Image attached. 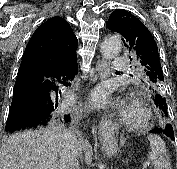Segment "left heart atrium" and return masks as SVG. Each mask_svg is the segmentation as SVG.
Here are the masks:
<instances>
[{
  "instance_id": "1",
  "label": "left heart atrium",
  "mask_w": 177,
  "mask_h": 169,
  "mask_svg": "<svg viewBox=\"0 0 177 169\" xmlns=\"http://www.w3.org/2000/svg\"><path fill=\"white\" fill-rule=\"evenodd\" d=\"M91 102L97 107H106L110 105V89L106 85L98 86L91 94Z\"/></svg>"
}]
</instances>
